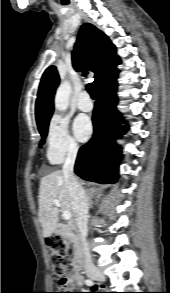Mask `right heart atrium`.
Masks as SVG:
<instances>
[{
    "instance_id": "1",
    "label": "right heart atrium",
    "mask_w": 170,
    "mask_h": 293,
    "mask_svg": "<svg viewBox=\"0 0 170 293\" xmlns=\"http://www.w3.org/2000/svg\"><path fill=\"white\" fill-rule=\"evenodd\" d=\"M47 156L51 163L59 164L66 157L75 156L79 145L69 132L67 119L60 115L53 116L49 122L47 137Z\"/></svg>"
}]
</instances>
